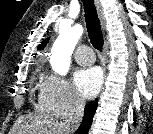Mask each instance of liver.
<instances>
[{
  "label": "liver",
  "instance_id": "obj_1",
  "mask_svg": "<svg viewBox=\"0 0 153 134\" xmlns=\"http://www.w3.org/2000/svg\"><path fill=\"white\" fill-rule=\"evenodd\" d=\"M23 119H20L14 126V132L22 134L29 132L31 134H64L62 124L57 120L44 115H35L29 117L28 122L21 124Z\"/></svg>",
  "mask_w": 153,
  "mask_h": 134
}]
</instances>
